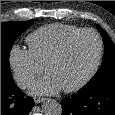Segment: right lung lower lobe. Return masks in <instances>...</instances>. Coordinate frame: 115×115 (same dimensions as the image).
<instances>
[{
    "instance_id": "98d812e1",
    "label": "right lung lower lobe",
    "mask_w": 115,
    "mask_h": 115,
    "mask_svg": "<svg viewBox=\"0 0 115 115\" xmlns=\"http://www.w3.org/2000/svg\"><path fill=\"white\" fill-rule=\"evenodd\" d=\"M33 106L13 80L1 81V115H28Z\"/></svg>"
}]
</instances>
